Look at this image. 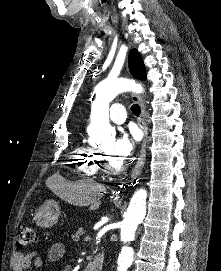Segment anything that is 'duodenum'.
I'll return each instance as SVG.
<instances>
[{"instance_id":"duodenum-1","label":"duodenum","mask_w":221,"mask_h":271,"mask_svg":"<svg viewBox=\"0 0 221 271\" xmlns=\"http://www.w3.org/2000/svg\"><path fill=\"white\" fill-rule=\"evenodd\" d=\"M104 260L105 258L102 253L95 254L92 260L83 269V271H102Z\"/></svg>"}]
</instances>
